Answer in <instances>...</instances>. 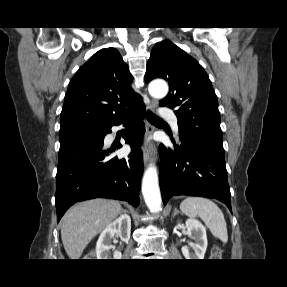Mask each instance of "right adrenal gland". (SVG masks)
Masks as SVG:
<instances>
[{
    "label": "right adrenal gland",
    "mask_w": 287,
    "mask_h": 287,
    "mask_svg": "<svg viewBox=\"0 0 287 287\" xmlns=\"http://www.w3.org/2000/svg\"><path fill=\"white\" fill-rule=\"evenodd\" d=\"M123 212H125V213H126L127 211H126V210H123Z\"/></svg>",
    "instance_id": "2a0ac1e0"
}]
</instances>
